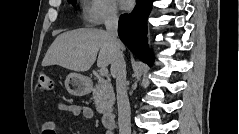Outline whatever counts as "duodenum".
I'll return each mask as SVG.
<instances>
[{
	"mask_svg": "<svg viewBox=\"0 0 239 134\" xmlns=\"http://www.w3.org/2000/svg\"><path fill=\"white\" fill-rule=\"evenodd\" d=\"M115 114L114 113H107L104 115L102 123L103 126L108 130L111 131L115 127Z\"/></svg>",
	"mask_w": 239,
	"mask_h": 134,
	"instance_id": "410a0bca",
	"label": "duodenum"
}]
</instances>
